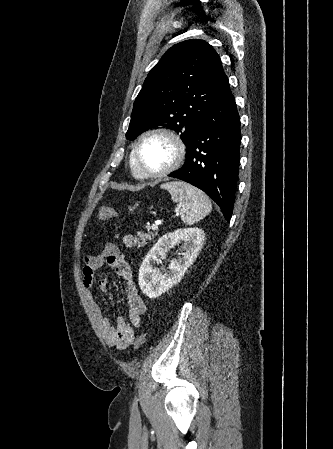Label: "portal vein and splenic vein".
I'll use <instances>...</instances> for the list:
<instances>
[{"mask_svg":"<svg viewBox=\"0 0 333 449\" xmlns=\"http://www.w3.org/2000/svg\"><path fill=\"white\" fill-rule=\"evenodd\" d=\"M150 229L151 230H157L158 229V224L156 223V224H153L151 227H150Z\"/></svg>","mask_w":333,"mask_h":449,"instance_id":"18ae733b","label":"portal vein and splenic vein"}]
</instances>
